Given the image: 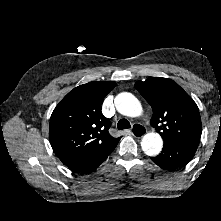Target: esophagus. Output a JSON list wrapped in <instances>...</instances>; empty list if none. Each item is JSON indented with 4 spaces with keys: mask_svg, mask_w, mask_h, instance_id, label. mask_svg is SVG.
Wrapping results in <instances>:
<instances>
[{
    "mask_svg": "<svg viewBox=\"0 0 221 221\" xmlns=\"http://www.w3.org/2000/svg\"><path fill=\"white\" fill-rule=\"evenodd\" d=\"M146 131L141 125H134L133 131H131V135L135 138H142L145 135Z\"/></svg>",
    "mask_w": 221,
    "mask_h": 221,
    "instance_id": "obj_1",
    "label": "esophagus"
}]
</instances>
